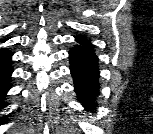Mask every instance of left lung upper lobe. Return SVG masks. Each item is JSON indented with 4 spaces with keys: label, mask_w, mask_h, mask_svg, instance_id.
<instances>
[{
    "label": "left lung upper lobe",
    "mask_w": 153,
    "mask_h": 134,
    "mask_svg": "<svg viewBox=\"0 0 153 134\" xmlns=\"http://www.w3.org/2000/svg\"><path fill=\"white\" fill-rule=\"evenodd\" d=\"M76 41L77 42H80V43H83V44H86V45H89V46H93L88 39H86L85 37H82V36H76Z\"/></svg>",
    "instance_id": "5c2ea615"
}]
</instances>
